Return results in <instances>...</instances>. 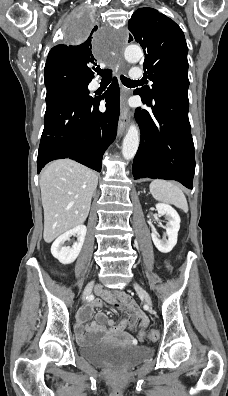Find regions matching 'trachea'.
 Masks as SVG:
<instances>
[{
  "label": "trachea",
  "instance_id": "3493384b",
  "mask_svg": "<svg viewBox=\"0 0 228 396\" xmlns=\"http://www.w3.org/2000/svg\"><path fill=\"white\" fill-rule=\"evenodd\" d=\"M96 72H97V74H99L101 76V83L102 84L108 85L111 82V80H112V70H110V69H104V70L97 69ZM120 79H121L122 83L125 86H127V87L128 86H132V85H134L136 83H139V81L131 80V79L125 77L124 75H121Z\"/></svg>",
  "mask_w": 228,
  "mask_h": 396
}]
</instances>
